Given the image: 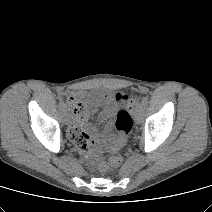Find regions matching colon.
Masks as SVG:
<instances>
[{
    "label": "colon",
    "mask_w": 212,
    "mask_h": 212,
    "mask_svg": "<svg viewBox=\"0 0 212 212\" xmlns=\"http://www.w3.org/2000/svg\"><path fill=\"white\" fill-rule=\"evenodd\" d=\"M116 101L125 102L128 104H132L131 95L128 92H117L114 95ZM68 106L74 115L83 114L87 111V107L85 102L78 97H70L68 100ZM133 121L132 116L129 111L122 110L118 113L116 119V129L118 131V137L116 140L114 150H117L120 146H122L127 138V135L130 133L132 129ZM122 157L118 153H114L108 163L101 162L99 164V171L106 172L109 167H117L121 164Z\"/></svg>",
    "instance_id": "obj_1"
}]
</instances>
